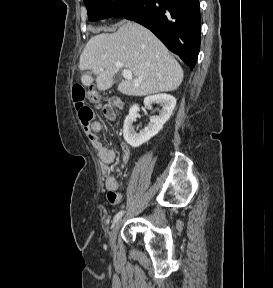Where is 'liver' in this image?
<instances>
[{
    "label": "liver",
    "instance_id": "6515ba94",
    "mask_svg": "<svg viewBox=\"0 0 273 288\" xmlns=\"http://www.w3.org/2000/svg\"><path fill=\"white\" fill-rule=\"evenodd\" d=\"M79 69L96 75L100 91L112 87L121 69L130 70L132 79L118 85V90L129 96L174 91L183 80L181 66L164 44L147 28L130 21L114 33L91 37L80 56ZM93 81L89 73L81 76L84 86Z\"/></svg>",
    "mask_w": 273,
    "mask_h": 288
}]
</instances>
